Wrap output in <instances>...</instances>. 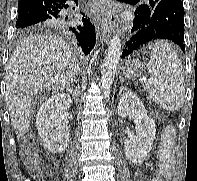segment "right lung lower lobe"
<instances>
[{
  "instance_id": "98d812e1",
  "label": "right lung lower lobe",
  "mask_w": 197,
  "mask_h": 181,
  "mask_svg": "<svg viewBox=\"0 0 197 181\" xmlns=\"http://www.w3.org/2000/svg\"><path fill=\"white\" fill-rule=\"evenodd\" d=\"M72 2L77 4L78 0H20L16 27L20 30L47 27L65 31L78 42L87 55L94 47L95 27L82 12L81 25L74 24L73 19L65 15L64 11Z\"/></svg>"
}]
</instances>
